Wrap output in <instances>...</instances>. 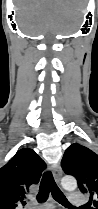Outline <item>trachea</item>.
Wrapping results in <instances>:
<instances>
[{"mask_svg": "<svg viewBox=\"0 0 98 209\" xmlns=\"http://www.w3.org/2000/svg\"><path fill=\"white\" fill-rule=\"evenodd\" d=\"M49 193L52 194L53 198L60 204L66 207H71L70 203L66 199L65 195L59 189L54 181L53 175L50 171L43 174L41 179L39 193L37 195L38 202H44L47 200Z\"/></svg>", "mask_w": 98, "mask_h": 209, "instance_id": "3493384b", "label": "trachea"}]
</instances>
